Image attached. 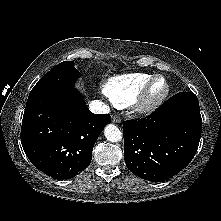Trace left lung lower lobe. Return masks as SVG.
Wrapping results in <instances>:
<instances>
[{"label":"left lung lower lobe","instance_id":"obj_1","mask_svg":"<svg viewBox=\"0 0 221 221\" xmlns=\"http://www.w3.org/2000/svg\"><path fill=\"white\" fill-rule=\"evenodd\" d=\"M201 131L196 95L177 93L145 119L124 122L126 166L133 174L153 182L170 178L194 157Z\"/></svg>","mask_w":221,"mask_h":221}]
</instances>
